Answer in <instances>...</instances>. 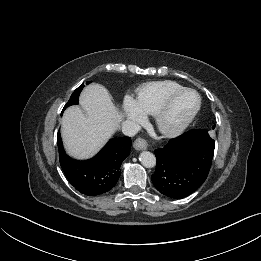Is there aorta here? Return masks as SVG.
<instances>
[{"label": "aorta", "instance_id": "aorta-1", "mask_svg": "<svg viewBox=\"0 0 261 261\" xmlns=\"http://www.w3.org/2000/svg\"><path fill=\"white\" fill-rule=\"evenodd\" d=\"M139 160L146 168H153L156 165V157L153 153L144 151L140 154Z\"/></svg>", "mask_w": 261, "mask_h": 261}]
</instances>
